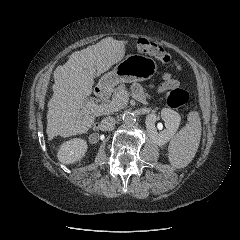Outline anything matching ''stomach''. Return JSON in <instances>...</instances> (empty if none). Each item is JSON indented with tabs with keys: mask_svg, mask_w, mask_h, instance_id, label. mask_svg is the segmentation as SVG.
Wrapping results in <instances>:
<instances>
[{
	"mask_svg": "<svg viewBox=\"0 0 240 240\" xmlns=\"http://www.w3.org/2000/svg\"><path fill=\"white\" fill-rule=\"evenodd\" d=\"M156 72L157 64L154 59L140 54H130L111 72L105 74L99 84L114 86L120 82L144 81L153 77Z\"/></svg>",
	"mask_w": 240,
	"mask_h": 240,
	"instance_id": "stomach-1",
	"label": "stomach"
}]
</instances>
